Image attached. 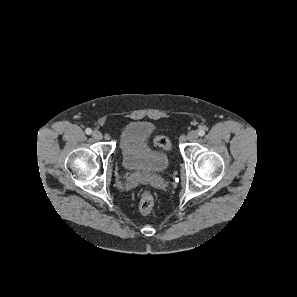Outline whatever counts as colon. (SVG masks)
Returning <instances> with one entry per match:
<instances>
[{
    "instance_id": "obj_1",
    "label": "colon",
    "mask_w": 297,
    "mask_h": 297,
    "mask_svg": "<svg viewBox=\"0 0 297 297\" xmlns=\"http://www.w3.org/2000/svg\"><path fill=\"white\" fill-rule=\"evenodd\" d=\"M154 146L161 149L170 150L171 143L167 137L163 135H157L153 140ZM154 206V197L151 192L143 191L139 200V211L143 216H147L151 213Z\"/></svg>"
}]
</instances>
